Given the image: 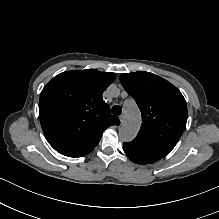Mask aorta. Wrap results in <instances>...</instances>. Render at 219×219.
I'll return each instance as SVG.
<instances>
[{
  "mask_svg": "<svg viewBox=\"0 0 219 219\" xmlns=\"http://www.w3.org/2000/svg\"><path fill=\"white\" fill-rule=\"evenodd\" d=\"M126 120L119 129V138L122 141H132L141 125V114L135 103L126 102L125 105Z\"/></svg>",
  "mask_w": 219,
  "mask_h": 219,
  "instance_id": "obj_1",
  "label": "aorta"
}]
</instances>
